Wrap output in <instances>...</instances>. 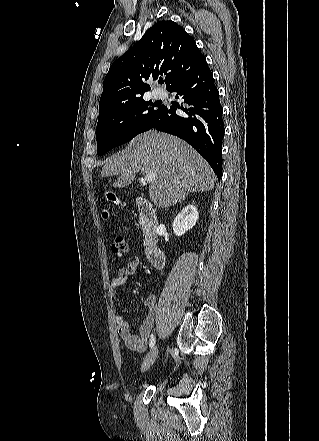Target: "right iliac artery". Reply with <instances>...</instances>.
Instances as JSON below:
<instances>
[{
	"label": "right iliac artery",
	"mask_w": 319,
	"mask_h": 441,
	"mask_svg": "<svg viewBox=\"0 0 319 441\" xmlns=\"http://www.w3.org/2000/svg\"><path fill=\"white\" fill-rule=\"evenodd\" d=\"M154 345H155V337H154V335L152 334L151 337H150V343H149V346H150V348H153Z\"/></svg>",
	"instance_id": "obj_1"
}]
</instances>
